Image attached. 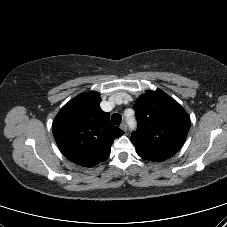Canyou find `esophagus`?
<instances>
[{
	"label": "esophagus",
	"instance_id": "1",
	"mask_svg": "<svg viewBox=\"0 0 227 227\" xmlns=\"http://www.w3.org/2000/svg\"><path fill=\"white\" fill-rule=\"evenodd\" d=\"M120 128H121L124 132L127 131V125H126L125 123H121V124H120Z\"/></svg>",
	"mask_w": 227,
	"mask_h": 227
}]
</instances>
